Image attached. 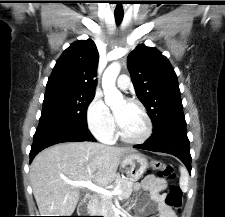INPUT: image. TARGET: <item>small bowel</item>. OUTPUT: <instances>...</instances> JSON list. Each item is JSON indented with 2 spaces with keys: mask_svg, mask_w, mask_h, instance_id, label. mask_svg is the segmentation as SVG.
Listing matches in <instances>:
<instances>
[{
  "mask_svg": "<svg viewBox=\"0 0 225 217\" xmlns=\"http://www.w3.org/2000/svg\"><path fill=\"white\" fill-rule=\"evenodd\" d=\"M163 188L164 182L161 179L152 174L147 175L141 182L135 184L134 189L138 193L143 191L149 192L150 200H131L127 203V208L137 206L140 213L150 215L157 210V217H178L173 209L165 203V197L162 194Z\"/></svg>",
  "mask_w": 225,
  "mask_h": 217,
  "instance_id": "c3829d8e",
  "label": "small bowel"
}]
</instances>
